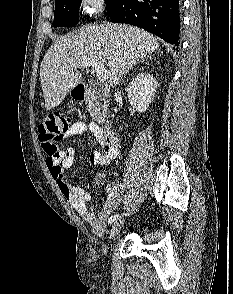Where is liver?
<instances>
[{"mask_svg":"<svg viewBox=\"0 0 233 294\" xmlns=\"http://www.w3.org/2000/svg\"><path fill=\"white\" fill-rule=\"evenodd\" d=\"M159 48L152 34L131 25H88L76 35L58 38L40 67L45 108L59 105L81 83L79 62L94 59L109 69V82L117 85L133 66Z\"/></svg>","mask_w":233,"mask_h":294,"instance_id":"6515ba94","label":"liver"}]
</instances>
